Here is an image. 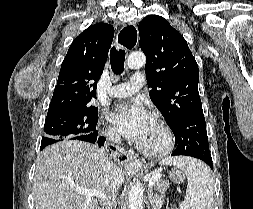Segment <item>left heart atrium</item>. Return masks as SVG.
Instances as JSON below:
<instances>
[{
	"label": "left heart atrium",
	"mask_w": 253,
	"mask_h": 209,
	"mask_svg": "<svg viewBox=\"0 0 253 209\" xmlns=\"http://www.w3.org/2000/svg\"><path fill=\"white\" fill-rule=\"evenodd\" d=\"M110 122L126 138L139 143L153 121L151 113L139 101L117 106L109 114Z\"/></svg>",
	"instance_id": "39dd6f15"
}]
</instances>
